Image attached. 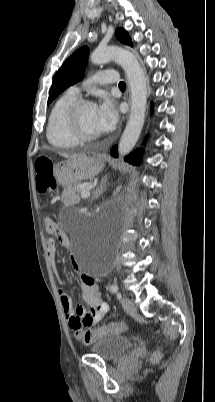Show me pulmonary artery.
I'll return each instance as SVG.
<instances>
[{"label":"pulmonary artery","mask_w":215,"mask_h":402,"mask_svg":"<svg viewBox=\"0 0 215 402\" xmlns=\"http://www.w3.org/2000/svg\"><path fill=\"white\" fill-rule=\"evenodd\" d=\"M118 81V75L113 70H104L97 72L90 80L87 81V84H91L93 82H98L102 84L106 83H115ZM76 94H79L80 89L76 86H72L70 88Z\"/></svg>","instance_id":"obj_1"}]
</instances>
